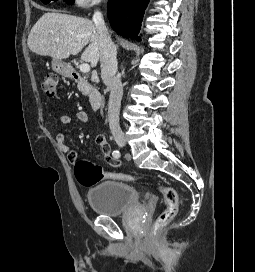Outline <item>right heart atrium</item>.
I'll use <instances>...</instances> for the list:
<instances>
[{
  "mask_svg": "<svg viewBox=\"0 0 255 272\" xmlns=\"http://www.w3.org/2000/svg\"><path fill=\"white\" fill-rule=\"evenodd\" d=\"M101 0H73V4L77 7H90L100 3Z\"/></svg>",
  "mask_w": 255,
  "mask_h": 272,
  "instance_id": "obj_1",
  "label": "right heart atrium"
}]
</instances>
